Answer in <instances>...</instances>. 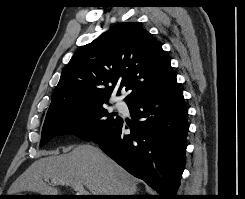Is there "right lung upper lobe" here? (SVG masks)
<instances>
[{"label": "right lung upper lobe", "instance_id": "obj_1", "mask_svg": "<svg viewBox=\"0 0 245 199\" xmlns=\"http://www.w3.org/2000/svg\"><path fill=\"white\" fill-rule=\"evenodd\" d=\"M176 81L169 57L142 25L123 22L81 47L63 69L46 116L77 104L107 103L116 86L127 103Z\"/></svg>", "mask_w": 245, "mask_h": 199}]
</instances>
